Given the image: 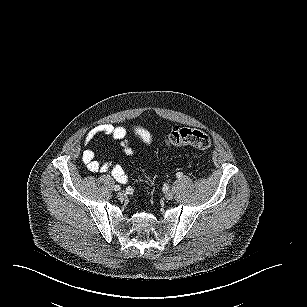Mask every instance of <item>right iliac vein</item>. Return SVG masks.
<instances>
[{
	"label": "right iliac vein",
	"mask_w": 307,
	"mask_h": 307,
	"mask_svg": "<svg viewBox=\"0 0 307 307\" xmlns=\"http://www.w3.org/2000/svg\"><path fill=\"white\" fill-rule=\"evenodd\" d=\"M117 197H118L119 200H124V198L126 197V194L123 191H119L117 193Z\"/></svg>",
	"instance_id": "63e3f726"
}]
</instances>
